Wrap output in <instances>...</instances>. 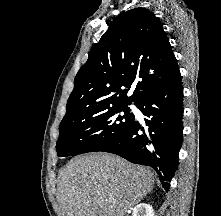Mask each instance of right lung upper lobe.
<instances>
[{
	"instance_id": "1",
	"label": "right lung upper lobe",
	"mask_w": 221,
	"mask_h": 216,
	"mask_svg": "<svg viewBox=\"0 0 221 216\" xmlns=\"http://www.w3.org/2000/svg\"><path fill=\"white\" fill-rule=\"evenodd\" d=\"M177 70L158 17L145 8L121 13L92 46L87 62L78 71L62 121H75L105 107L137 104ZM134 84V93L128 97Z\"/></svg>"
}]
</instances>
